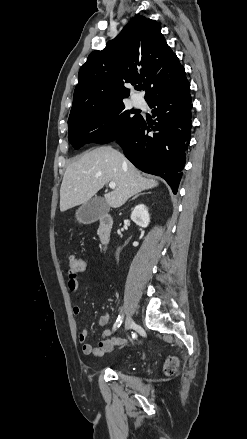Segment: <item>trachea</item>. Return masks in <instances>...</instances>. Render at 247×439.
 Returning <instances> with one entry per match:
<instances>
[{
	"instance_id": "1",
	"label": "trachea",
	"mask_w": 247,
	"mask_h": 439,
	"mask_svg": "<svg viewBox=\"0 0 247 439\" xmlns=\"http://www.w3.org/2000/svg\"><path fill=\"white\" fill-rule=\"evenodd\" d=\"M142 89V87H138V90H141Z\"/></svg>"
}]
</instances>
